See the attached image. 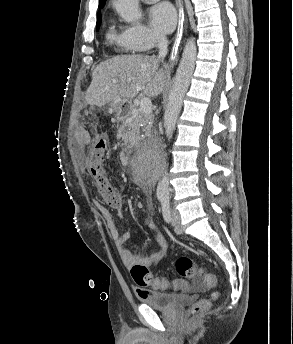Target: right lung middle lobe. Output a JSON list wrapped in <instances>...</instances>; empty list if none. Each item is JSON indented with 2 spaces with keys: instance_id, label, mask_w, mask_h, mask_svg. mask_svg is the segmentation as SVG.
<instances>
[{
  "instance_id": "dd1d6c3e",
  "label": "right lung middle lobe",
  "mask_w": 293,
  "mask_h": 344,
  "mask_svg": "<svg viewBox=\"0 0 293 344\" xmlns=\"http://www.w3.org/2000/svg\"><path fill=\"white\" fill-rule=\"evenodd\" d=\"M102 7L103 6H99V8H102ZM100 23H101V17L97 19V26H96L97 30H98V28L100 26Z\"/></svg>"
}]
</instances>
